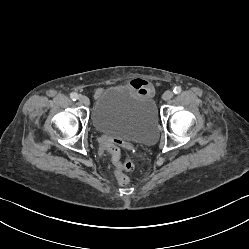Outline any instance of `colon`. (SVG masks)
Returning a JSON list of instances; mask_svg holds the SVG:
<instances>
[{
	"instance_id": "obj_1",
	"label": "colon",
	"mask_w": 249,
	"mask_h": 249,
	"mask_svg": "<svg viewBox=\"0 0 249 249\" xmlns=\"http://www.w3.org/2000/svg\"><path fill=\"white\" fill-rule=\"evenodd\" d=\"M101 148L110 150L112 152L113 161L115 164L116 180L118 184L127 185L129 183V178L125 173L134 169V162L130 158L120 161V149L116 145H112L108 142H102Z\"/></svg>"
}]
</instances>
